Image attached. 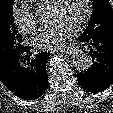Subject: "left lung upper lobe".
I'll return each instance as SVG.
<instances>
[{
  "label": "left lung upper lobe",
  "mask_w": 113,
  "mask_h": 113,
  "mask_svg": "<svg viewBox=\"0 0 113 113\" xmlns=\"http://www.w3.org/2000/svg\"><path fill=\"white\" fill-rule=\"evenodd\" d=\"M93 15L85 34L113 33V10L108 0H93Z\"/></svg>",
  "instance_id": "1"
}]
</instances>
